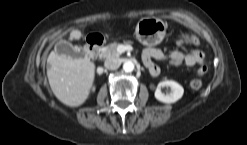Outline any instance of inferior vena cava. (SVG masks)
Wrapping results in <instances>:
<instances>
[{
	"mask_svg": "<svg viewBox=\"0 0 247 145\" xmlns=\"http://www.w3.org/2000/svg\"><path fill=\"white\" fill-rule=\"evenodd\" d=\"M104 66L109 70H116L120 66V61L116 58H110L105 61Z\"/></svg>",
	"mask_w": 247,
	"mask_h": 145,
	"instance_id": "1",
	"label": "inferior vena cava"
}]
</instances>
